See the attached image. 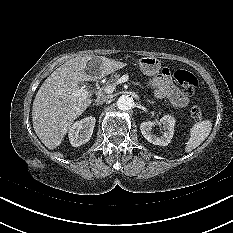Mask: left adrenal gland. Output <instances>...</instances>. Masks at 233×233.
<instances>
[{"instance_id": "left-adrenal-gland-1", "label": "left adrenal gland", "mask_w": 233, "mask_h": 233, "mask_svg": "<svg viewBox=\"0 0 233 233\" xmlns=\"http://www.w3.org/2000/svg\"><path fill=\"white\" fill-rule=\"evenodd\" d=\"M147 102L152 103V104H154V103H155L154 101H150V100H147Z\"/></svg>"}]
</instances>
